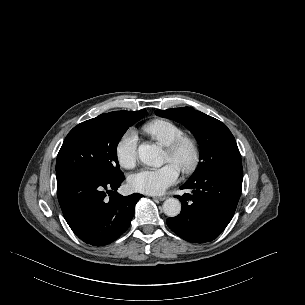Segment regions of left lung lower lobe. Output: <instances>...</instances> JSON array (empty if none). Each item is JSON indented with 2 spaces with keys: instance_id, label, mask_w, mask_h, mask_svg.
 I'll return each mask as SVG.
<instances>
[{
  "instance_id": "1",
  "label": "left lung lower lobe",
  "mask_w": 305,
  "mask_h": 305,
  "mask_svg": "<svg viewBox=\"0 0 305 305\" xmlns=\"http://www.w3.org/2000/svg\"><path fill=\"white\" fill-rule=\"evenodd\" d=\"M242 180L241 162L221 165L188 180L180 189H191L192 194L176 196L182 203V210L178 216L168 218L167 225L189 242L212 241L234 215Z\"/></svg>"
}]
</instances>
